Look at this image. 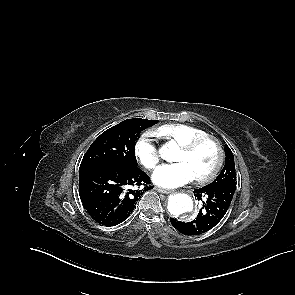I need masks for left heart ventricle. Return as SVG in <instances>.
<instances>
[{
  "mask_svg": "<svg viewBox=\"0 0 295 295\" xmlns=\"http://www.w3.org/2000/svg\"><path fill=\"white\" fill-rule=\"evenodd\" d=\"M218 158L216 146L212 142H205L194 152L186 153L180 150L176 161L186 163L193 171L195 177L208 174L215 166Z\"/></svg>",
  "mask_w": 295,
  "mask_h": 295,
  "instance_id": "left-heart-ventricle-1",
  "label": "left heart ventricle"
}]
</instances>
